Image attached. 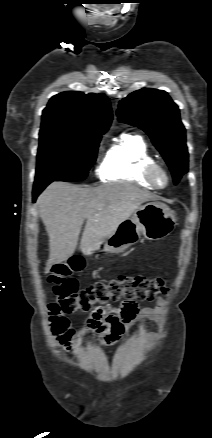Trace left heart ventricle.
Listing matches in <instances>:
<instances>
[{"instance_id": "b2bd125f", "label": "left heart ventricle", "mask_w": 212, "mask_h": 438, "mask_svg": "<svg viewBox=\"0 0 212 438\" xmlns=\"http://www.w3.org/2000/svg\"><path fill=\"white\" fill-rule=\"evenodd\" d=\"M155 181L158 185L163 186L166 182V177L161 171H159L155 175Z\"/></svg>"}]
</instances>
